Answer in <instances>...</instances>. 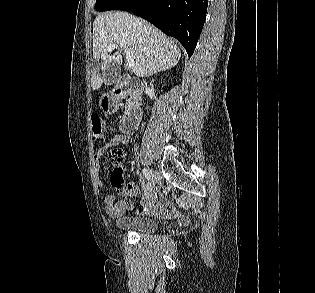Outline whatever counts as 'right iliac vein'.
I'll return each mask as SVG.
<instances>
[{"instance_id":"right-iliac-vein-1","label":"right iliac vein","mask_w":315,"mask_h":293,"mask_svg":"<svg viewBox=\"0 0 315 293\" xmlns=\"http://www.w3.org/2000/svg\"><path fill=\"white\" fill-rule=\"evenodd\" d=\"M151 177H152L151 181L148 184V188H147L146 193L144 194L142 202H147L150 199V197H151V195L155 189V182L157 179V173L154 171H151Z\"/></svg>"}]
</instances>
